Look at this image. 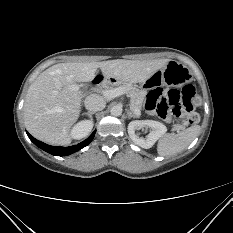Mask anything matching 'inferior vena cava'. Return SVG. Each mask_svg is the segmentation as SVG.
Masks as SVG:
<instances>
[{"label":"inferior vena cava","instance_id":"inferior-vena-cava-1","mask_svg":"<svg viewBox=\"0 0 233 233\" xmlns=\"http://www.w3.org/2000/svg\"><path fill=\"white\" fill-rule=\"evenodd\" d=\"M84 104L85 108L92 112L101 111L106 106L104 98L97 94H91L86 97Z\"/></svg>","mask_w":233,"mask_h":233}]
</instances>
